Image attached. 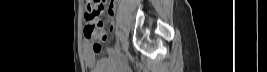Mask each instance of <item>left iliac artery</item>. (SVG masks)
Instances as JSON below:
<instances>
[{"instance_id":"44dca946","label":"left iliac artery","mask_w":267,"mask_h":72,"mask_svg":"<svg viewBox=\"0 0 267 72\" xmlns=\"http://www.w3.org/2000/svg\"><path fill=\"white\" fill-rule=\"evenodd\" d=\"M116 35L118 38V53L121 54L122 33L120 31H117Z\"/></svg>"}]
</instances>
